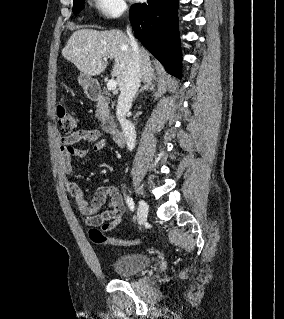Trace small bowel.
<instances>
[{
  "instance_id": "small-bowel-1",
  "label": "small bowel",
  "mask_w": 284,
  "mask_h": 319,
  "mask_svg": "<svg viewBox=\"0 0 284 319\" xmlns=\"http://www.w3.org/2000/svg\"><path fill=\"white\" fill-rule=\"evenodd\" d=\"M81 141L91 142L92 146L89 149L76 147V144ZM105 146L106 142L101 139V133L97 129L78 130L62 136L60 138V156L63 172L67 175L71 174L73 158H84L90 153L101 152ZM67 188L88 226L101 227V232L106 233L121 224L125 205L122 195L115 186L99 187L91 201L86 199L83 190L77 183L68 181Z\"/></svg>"
}]
</instances>
